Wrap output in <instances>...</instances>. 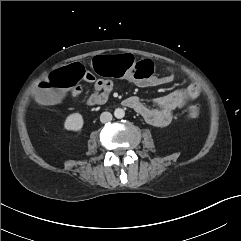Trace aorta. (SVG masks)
Segmentation results:
<instances>
[{
	"label": "aorta",
	"instance_id": "aorta-1",
	"mask_svg": "<svg viewBox=\"0 0 241 241\" xmlns=\"http://www.w3.org/2000/svg\"><path fill=\"white\" fill-rule=\"evenodd\" d=\"M114 116L117 118V119H121L125 116V111L121 108H117L115 109L114 111Z\"/></svg>",
	"mask_w": 241,
	"mask_h": 241
}]
</instances>
